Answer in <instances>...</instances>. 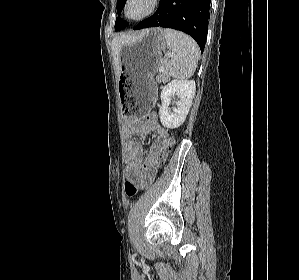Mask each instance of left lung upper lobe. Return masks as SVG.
I'll list each match as a JSON object with an SVG mask.
<instances>
[{
	"instance_id": "1",
	"label": "left lung upper lobe",
	"mask_w": 299,
	"mask_h": 280,
	"mask_svg": "<svg viewBox=\"0 0 299 280\" xmlns=\"http://www.w3.org/2000/svg\"><path fill=\"white\" fill-rule=\"evenodd\" d=\"M126 0H117V11H118V15L121 14V10L123 9L124 5H125ZM128 22L120 19V18H116V22H115V30H121L125 27L128 26Z\"/></svg>"
}]
</instances>
